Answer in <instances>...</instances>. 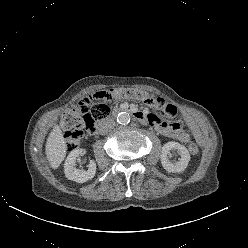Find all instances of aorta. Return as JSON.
Returning a JSON list of instances; mask_svg holds the SVG:
<instances>
[{"label":"aorta","instance_id":"aorta-1","mask_svg":"<svg viewBox=\"0 0 248 248\" xmlns=\"http://www.w3.org/2000/svg\"><path fill=\"white\" fill-rule=\"evenodd\" d=\"M117 122L121 125H127L130 122V115L126 112H121L117 115Z\"/></svg>","mask_w":248,"mask_h":248}]
</instances>
